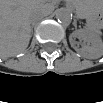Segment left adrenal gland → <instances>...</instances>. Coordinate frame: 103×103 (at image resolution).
<instances>
[{"instance_id":"a2214340","label":"left adrenal gland","mask_w":103,"mask_h":103,"mask_svg":"<svg viewBox=\"0 0 103 103\" xmlns=\"http://www.w3.org/2000/svg\"><path fill=\"white\" fill-rule=\"evenodd\" d=\"M74 27H75V29L77 30V25H76V22H74Z\"/></svg>"}]
</instances>
